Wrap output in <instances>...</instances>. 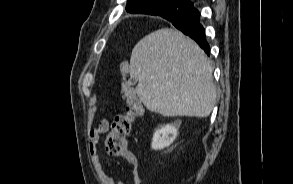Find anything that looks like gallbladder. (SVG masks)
I'll use <instances>...</instances> for the list:
<instances>
[{
	"label": "gallbladder",
	"mask_w": 293,
	"mask_h": 184,
	"mask_svg": "<svg viewBox=\"0 0 293 184\" xmlns=\"http://www.w3.org/2000/svg\"><path fill=\"white\" fill-rule=\"evenodd\" d=\"M129 83H130V85H135L136 83H137V79L136 78H131L130 80H129Z\"/></svg>",
	"instance_id": "gallbladder-1"
}]
</instances>
